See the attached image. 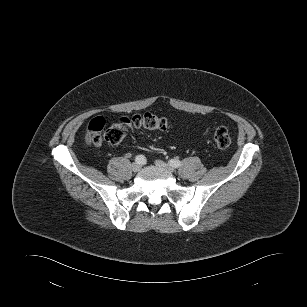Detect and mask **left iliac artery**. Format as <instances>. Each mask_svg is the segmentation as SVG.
<instances>
[{
    "label": "left iliac artery",
    "mask_w": 307,
    "mask_h": 307,
    "mask_svg": "<svg viewBox=\"0 0 307 307\" xmlns=\"http://www.w3.org/2000/svg\"><path fill=\"white\" fill-rule=\"evenodd\" d=\"M169 164H170V166H172L174 168H178V167L181 166V162L178 159L169 160Z\"/></svg>",
    "instance_id": "left-iliac-artery-1"
}]
</instances>
